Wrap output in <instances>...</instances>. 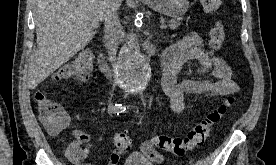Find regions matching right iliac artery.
I'll return each instance as SVG.
<instances>
[{
    "instance_id": "obj_1",
    "label": "right iliac artery",
    "mask_w": 276,
    "mask_h": 165,
    "mask_svg": "<svg viewBox=\"0 0 276 165\" xmlns=\"http://www.w3.org/2000/svg\"><path fill=\"white\" fill-rule=\"evenodd\" d=\"M126 111V107L122 104H115L109 106V112L120 115Z\"/></svg>"
}]
</instances>
